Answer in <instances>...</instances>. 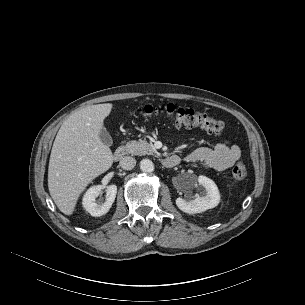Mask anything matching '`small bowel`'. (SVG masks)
Listing matches in <instances>:
<instances>
[{
	"instance_id": "small-bowel-1",
	"label": "small bowel",
	"mask_w": 305,
	"mask_h": 305,
	"mask_svg": "<svg viewBox=\"0 0 305 305\" xmlns=\"http://www.w3.org/2000/svg\"><path fill=\"white\" fill-rule=\"evenodd\" d=\"M239 146L231 145L227 140L218 143L214 148L200 147L190 152L185 160L198 164L206 169L224 171L232 167L240 158Z\"/></svg>"
}]
</instances>
